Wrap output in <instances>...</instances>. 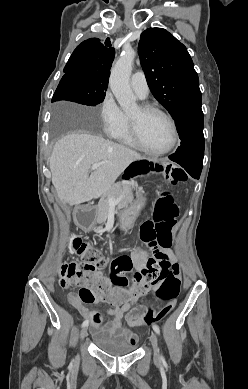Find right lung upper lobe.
Returning a JSON list of instances; mask_svg holds the SVG:
<instances>
[{
	"label": "right lung upper lobe",
	"instance_id": "obj_1",
	"mask_svg": "<svg viewBox=\"0 0 248 389\" xmlns=\"http://www.w3.org/2000/svg\"><path fill=\"white\" fill-rule=\"evenodd\" d=\"M114 55L109 38H90L77 46L64 72H83L91 82L107 86Z\"/></svg>",
	"mask_w": 248,
	"mask_h": 389
}]
</instances>
